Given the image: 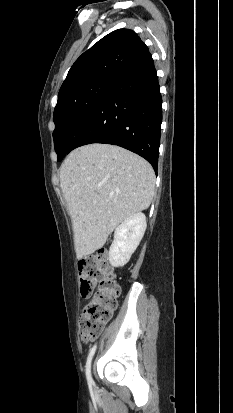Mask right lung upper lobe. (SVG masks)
Segmentation results:
<instances>
[{"label":"right lung upper lobe","mask_w":233,"mask_h":413,"mask_svg":"<svg viewBox=\"0 0 233 413\" xmlns=\"http://www.w3.org/2000/svg\"><path fill=\"white\" fill-rule=\"evenodd\" d=\"M148 53L147 46L132 30H115L75 61L60 88L58 98L96 78H117Z\"/></svg>","instance_id":"cb5924a9"}]
</instances>
